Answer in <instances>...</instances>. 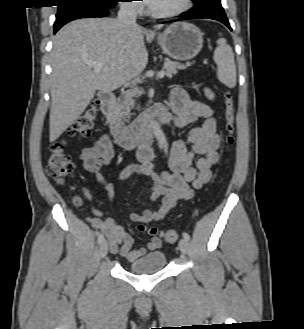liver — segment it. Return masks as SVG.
Masks as SVG:
<instances>
[{
  "label": "liver",
  "instance_id": "obj_1",
  "mask_svg": "<svg viewBox=\"0 0 304 329\" xmlns=\"http://www.w3.org/2000/svg\"><path fill=\"white\" fill-rule=\"evenodd\" d=\"M89 61L104 66L96 72L86 64ZM147 62L143 31L138 25L124 27L116 19L88 18L62 27L53 38L51 51L50 142L79 118L97 90L119 88L138 76Z\"/></svg>",
  "mask_w": 304,
  "mask_h": 329
}]
</instances>
